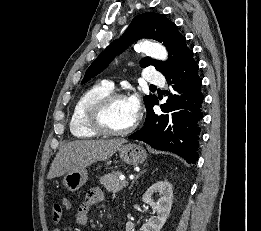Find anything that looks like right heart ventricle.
I'll return each instance as SVG.
<instances>
[{
  "label": "right heart ventricle",
  "instance_id": "obj_1",
  "mask_svg": "<svg viewBox=\"0 0 261 231\" xmlns=\"http://www.w3.org/2000/svg\"><path fill=\"white\" fill-rule=\"evenodd\" d=\"M112 90L107 85H96L86 91L76 102L70 116V131L77 138H90L98 136L88 122L89 110L93 104Z\"/></svg>",
  "mask_w": 261,
  "mask_h": 231
}]
</instances>
